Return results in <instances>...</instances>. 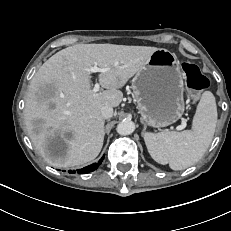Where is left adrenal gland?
Listing matches in <instances>:
<instances>
[{
    "instance_id": "a2214340",
    "label": "left adrenal gland",
    "mask_w": 231,
    "mask_h": 231,
    "mask_svg": "<svg viewBox=\"0 0 231 231\" xmlns=\"http://www.w3.org/2000/svg\"><path fill=\"white\" fill-rule=\"evenodd\" d=\"M146 130V126L144 125V129H143V131H145Z\"/></svg>"
}]
</instances>
